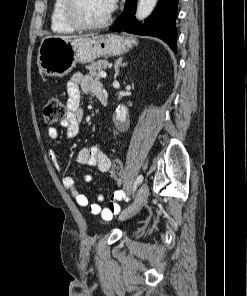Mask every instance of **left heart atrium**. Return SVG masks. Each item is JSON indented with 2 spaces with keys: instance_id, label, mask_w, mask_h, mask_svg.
Instances as JSON below:
<instances>
[{
  "instance_id": "left-heart-atrium-1",
  "label": "left heart atrium",
  "mask_w": 247,
  "mask_h": 296,
  "mask_svg": "<svg viewBox=\"0 0 247 296\" xmlns=\"http://www.w3.org/2000/svg\"><path fill=\"white\" fill-rule=\"evenodd\" d=\"M109 11H113L117 5V0H106Z\"/></svg>"
}]
</instances>
